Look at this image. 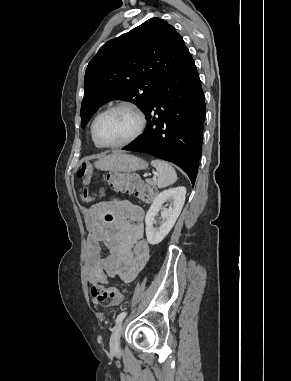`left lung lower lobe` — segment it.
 <instances>
[{
  "instance_id": "1",
  "label": "left lung lower lobe",
  "mask_w": 291,
  "mask_h": 381,
  "mask_svg": "<svg viewBox=\"0 0 291 381\" xmlns=\"http://www.w3.org/2000/svg\"><path fill=\"white\" fill-rule=\"evenodd\" d=\"M144 113L145 132L123 150L172 162L188 174L194 185L202 153L205 100L189 51L157 87Z\"/></svg>"
}]
</instances>
